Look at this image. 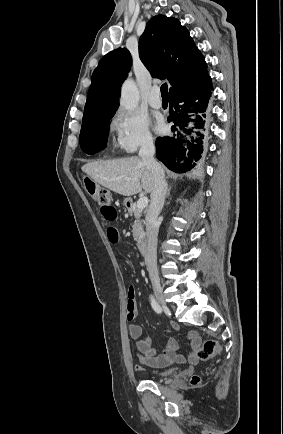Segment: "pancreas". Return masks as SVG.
Wrapping results in <instances>:
<instances>
[{
	"mask_svg": "<svg viewBox=\"0 0 283 434\" xmlns=\"http://www.w3.org/2000/svg\"><path fill=\"white\" fill-rule=\"evenodd\" d=\"M128 211L130 215H134L135 217V221L132 225V233H133L134 240L139 242L143 239L145 235L143 229V221L140 219L142 210L136 207H131Z\"/></svg>",
	"mask_w": 283,
	"mask_h": 434,
	"instance_id": "cf45deb5",
	"label": "pancreas"
}]
</instances>
